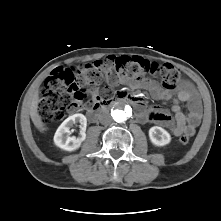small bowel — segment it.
<instances>
[{
    "mask_svg": "<svg viewBox=\"0 0 221 221\" xmlns=\"http://www.w3.org/2000/svg\"><path fill=\"white\" fill-rule=\"evenodd\" d=\"M106 79L110 86L128 84L133 88L144 87L150 92L153 98L172 101L174 118H171L168 111L163 107H146L143 104V106L139 108L138 119L140 121L154 122L167 126L170 132L175 136L181 134L194 135L201 120L202 103L198 93L188 81L181 82L175 89H166L153 80L144 82L131 80L121 71L109 72ZM92 98L93 101L100 99L97 89L92 91ZM182 103L187 104V113L182 111Z\"/></svg>",
    "mask_w": 221,
    "mask_h": 221,
    "instance_id": "obj_1",
    "label": "small bowel"
}]
</instances>
